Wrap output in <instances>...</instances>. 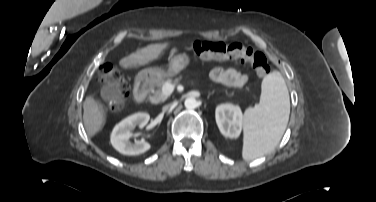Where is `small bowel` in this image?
<instances>
[{"mask_svg": "<svg viewBox=\"0 0 376 202\" xmlns=\"http://www.w3.org/2000/svg\"><path fill=\"white\" fill-rule=\"evenodd\" d=\"M210 77L213 81L231 87L242 86L247 82V75L240 73L235 69H223L216 67L210 72Z\"/></svg>", "mask_w": 376, "mask_h": 202, "instance_id": "obj_1", "label": "small bowel"}]
</instances>
